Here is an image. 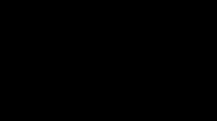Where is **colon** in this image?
<instances>
[{
    "label": "colon",
    "instance_id": "colon-1",
    "mask_svg": "<svg viewBox=\"0 0 217 121\" xmlns=\"http://www.w3.org/2000/svg\"><path fill=\"white\" fill-rule=\"evenodd\" d=\"M182 2L186 1L182 0ZM62 21V16L58 12L49 13L41 23L43 34L49 37L56 35Z\"/></svg>",
    "mask_w": 217,
    "mask_h": 121
}]
</instances>
